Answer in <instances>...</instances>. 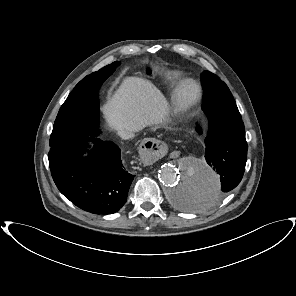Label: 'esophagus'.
<instances>
[{"mask_svg": "<svg viewBox=\"0 0 296 296\" xmlns=\"http://www.w3.org/2000/svg\"><path fill=\"white\" fill-rule=\"evenodd\" d=\"M166 150L167 145L163 140L150 137L139 146L138 155L148 163H156L165 155Z\"/></svg>", "mask_w": 296, "mask_h": 296, "instance_id": "1", "label": "esophagus"}]
</instances>
